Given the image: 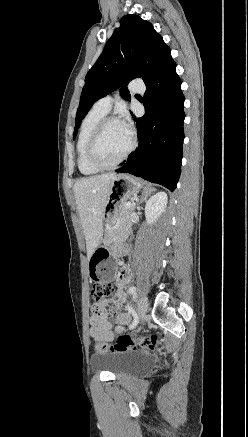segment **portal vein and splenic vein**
<instances>
[{"label": "portal vein and splenic vein", "instance_id": "1", "mask_svg": "<svg viewBox=\"0 0 248 437\" xmlns=\"http://www.w3.org/2000/svg\"><path fill=\"white\" fill-rule=\"evenodd\" d=\"M133 204H131L130 202H128V203H126V208H128V207H130V206H132Z\"/></svg>", "mask_w": 248, "mask_h": 437}]
</instances>
